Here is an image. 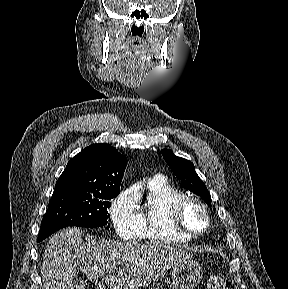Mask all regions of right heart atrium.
Returning a JSON list of instances; mask_svg holds the SVG:
<instances>
[{
  "instance_id": "right-heart-atrium-1",
  "label": "right heart atrium",
  "mask_w": 288,
  "mask_h": 289,
  "mask_svg": "<svg viewBox=\"0 0 288 289\" xmlns=\"http://www.w3.org/2000/svg\"><path fill=\"white\" fill-rule=\"evenodd\" d=\"M110 218L116 234L125 240H136L140 236L141 219L137 201L130 191L120 192L112 201Z\"/></svg>"
}]
</instances>
